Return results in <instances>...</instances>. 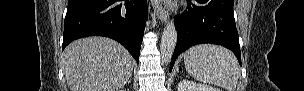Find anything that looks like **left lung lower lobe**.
Instances as JSON below:
<instances>
[{
  "mask_svg": "<svg viewBox=\"0 0 304 91\" xmlns=\"http://www.w3.org/2000/svg\"><path fill=\"white\" fill-rule=\"evenodd\" d=\"M188 10L175 17L177 44L170 71L180 53L196 44L213 43L224 46L236 55L241 65L239 36L236 29L234 0H191Z\"/></svg>",
  "mask_w": 304,
  "mask_h": 91,
  "instance_id": "0a47b994",
  "label": "left lung lower lobe"
}]
</instances>
